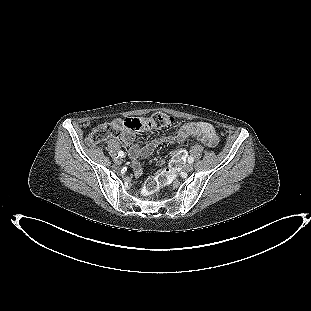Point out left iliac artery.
<instances>
[{
    "label": "left iliac artery",
    "mask_w": 311,
    "mask_h": 311,
    "mask_svg": "<svg viewBox=\"0 0 311 311\" xmlns=\"http://www.w3.org/2000/svg\"><path fill=\"white\" fill-rule=\"evenodd\" d=\"M193 162H194V158H193L192 156H189V157H188V163L191 164V163H193Z\"/></svg>",
    "instance_id": "1"
}]
</instances>
